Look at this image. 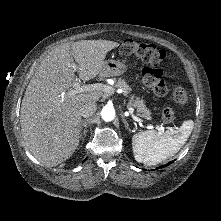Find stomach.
Listing matches in <instances>:
<instances>
[{
	"label": "stomach",
	"instance_id": "stomach-1",
	"mask_svg": "<svg viewBox=\"0 0 221 221\" xmlns=\"http://www.w3.org/2000/svg\"><path fill=\"white\" fill-rule=\"evenodd\" d=\"M128 65L126 60H106L101 74L104 76H120L126 72Z\"/></svg>",
	"mask_w": 221,
	"mask_h": 221
}]
</instances>
